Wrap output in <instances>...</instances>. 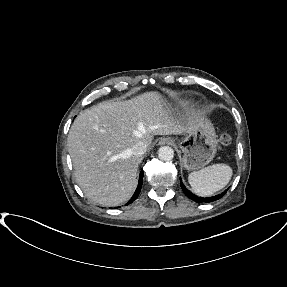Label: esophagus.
I'll list each match as a JSON object with an SVG mask.
<instances>
[{
  "instance_id": "34e87169",
  "label": "esophagus",
  "mask_w": 287,
  "mask_h": 287,
  "mask_svg": "<svg viewBox=\"0 0 287 287\" xmlns=\"http://www.w3.org/2000/svg\"><path fill=\"white\" fill-rule=\"evenodd\" d=\"M173 143H174V140L170 137L161 138L159 140L160 145H172Z\"/></svg>"
}]
</instances>
